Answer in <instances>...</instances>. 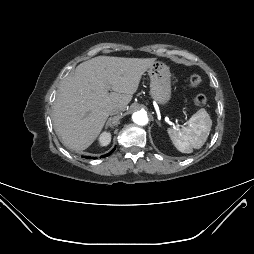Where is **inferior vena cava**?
Wrapping results in <instances>:
<instances>
[{"label": "inferior vena cava", "mask_w": 254, "mask_h": 254, "mask_svg": "<svg viewBox=\"0 0 254 254\" xmlns=\"http://www.w3.org/2000/svg\"><path fill=\"white\" fill-rule=\"evenodd\" d=\"M121 111H122V108L121 107H119V106H115V107H113L111 110H110V115H116V114H119V113H121Z\"/></svg>", "instance_id": "1"}]
</instances>
